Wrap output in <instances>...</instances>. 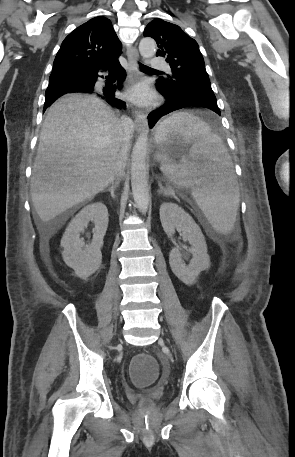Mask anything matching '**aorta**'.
<instances>
[{"label": "aorta", "mask_w": 295, "mask_h": 457, "mask_svg": "<svg viewBox=\"0 0 295 457\" xmlns=\"http://www.w3.org/2000/svg\"><path fill=\"white\" fill-rule=\"evenodd\" d=\"M139 52L144 59L151 58L156 52L155 41L143 38L139 43ZM148 147L147 133L137 138L131 155V186L134 201L141 213H146L149 206L148 172L146 156Z\"/></svg>", "instance_id": "obj_1"}]
</instances>
